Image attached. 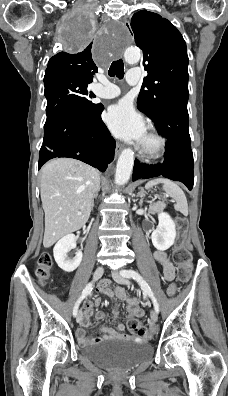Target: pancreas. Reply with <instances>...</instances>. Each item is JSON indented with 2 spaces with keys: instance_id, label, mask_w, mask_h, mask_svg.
Returning a JSON list of instances; mask_svg holds the SVG:
<instances>
[{
  "instance_id": "cf45deb5",
  "label": "pancreas",
  "mask_w": 228,
  "mask_h": 396,
  "mask_svg": "<svg viewBox=\"0 0 228 396\" xmlns=\"http://www.w3.org/2000/svg\"><path fill=\"white\" fill-rule=\"evenodd\" d=\"M165 208L164 204L161 203H154L150 206V211L152 213L158 212V211H162Z\"/></svg>"
}]
</instances>
